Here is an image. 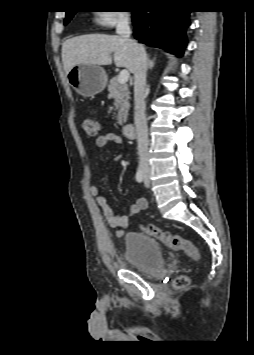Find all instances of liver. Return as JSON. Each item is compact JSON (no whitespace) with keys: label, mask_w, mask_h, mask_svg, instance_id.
Listing matches in <instances>:
<instances>
[{"label":"liver","mask_w":254,"mask_h":355,"mask_svg":"<svg viewBox=\"0 0 254 355\" xmlns=\"http://www.w3.org/2000/svg\"><path fill=\"white\" fill-rule=\"evenodd\" d=\"M111 53L117 67L134 72L135 57L131 46L117 35L89 34L66 40L62 45V62L66 74L79 64L110 65Z\"/></svg>","instance_id":"obj_1"}]
</instances>
